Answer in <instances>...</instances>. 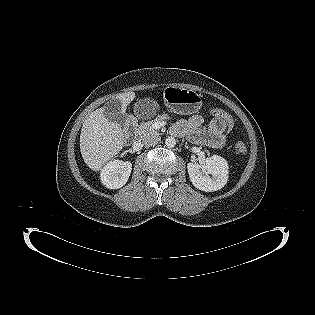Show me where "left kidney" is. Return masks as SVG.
Masks as SVG:
<instances>
[{"label":"left kidney","mask_w":315,"mask_h":315,"mask_svg":"<svg viewBox=\"0 0 315 315\" xmlns=\"http://www.w3.org/2000/svg\"><path fill=\"white\" fill-rule=\"evenodd\" d=\"M187 170L192 184L205 192L220 190L228 179L227 161L218 155L206 158L202 164L188 163Z\"/></svg>","instance_id":"5707ae66"}]
</instances>
